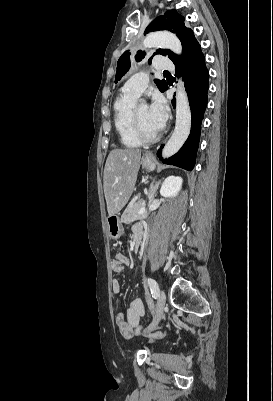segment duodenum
<instances>
[{"mask_svg": "<svg viewBox=\"0 0 273 401\" xmlns=\"http://www.w3.org/2000/svg\"><path fill=\"white\" fill-rule=\"evenodd\" d=\"M141 243H142V235L141 234L136 235L133 241L134 249L137 250L140 247Z\"/></svg>", "mask_w": 273, "mask_h": 401, "instance_id": "410a0bca", "label": "duodenum"}]
</instances>
